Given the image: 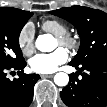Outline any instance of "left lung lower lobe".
Masks as SVG:
<instances>
[{
  "label": "left lung lower lobe",
  "instance_id": "left-lung-lower-lobe-1",
  "mask_svg": "<svg viewBox=\"0 0 107 107\" xmlns=\"http://www.w3.org/2000/svg\"><path fill=\"white\" fill-rule=\"evenodd\" d=\"M69 65L84 72L81 80L72 74L71 82L60 92L63 102L68 107H106L107 57H98L81 65Z\"/></svg>",
  "mask_w": 107,
  "mask_h": 107
}]
</instances>
